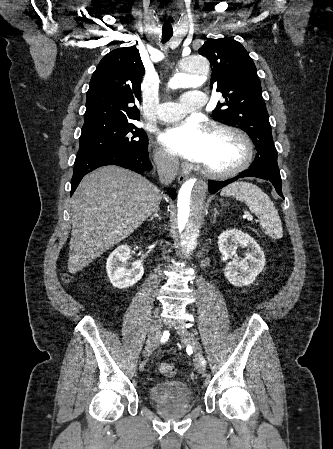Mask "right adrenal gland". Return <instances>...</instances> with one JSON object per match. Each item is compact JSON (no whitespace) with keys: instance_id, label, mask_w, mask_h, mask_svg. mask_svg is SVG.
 <instances>
[{"instance_id":"right-adrenal-gland-1","label":"right adrenal gland","mask_w":333,"mask_h":449,"mask_svg":"<svg viewBox=\"0 0 333 449\" xmlns=\"http://www.w3.org/2000/svg\"><path fill=\"white\" fill-rule=\"evenodd\" d=\"M160 208H158L154 214L148 219V221H152L154 218H158L159 220H161V217L159 216L158 212H159Z\"/></svg>"}]
</instances>
